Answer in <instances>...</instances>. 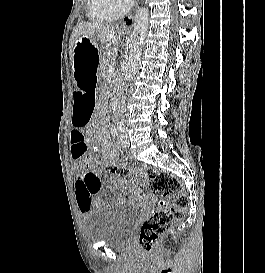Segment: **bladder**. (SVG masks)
<instances>
[{"instance_id": "31cf9c89", "label": "bladder", "mask_w": 265, "mask_h": 273, "mask_svg": "<svg viewBox=\"0 0 265 273\" xmlns=\"http://www.w3.org/2000/svg\"><path fill=\"white\" fill-rule=\"evenodd\" d=\"M137 220L138 210L124 203L92 207L84 212L83 231L89 241L111 248H125Z\"/></svg>"}]
</instances>
